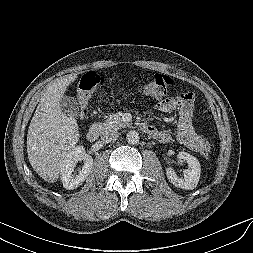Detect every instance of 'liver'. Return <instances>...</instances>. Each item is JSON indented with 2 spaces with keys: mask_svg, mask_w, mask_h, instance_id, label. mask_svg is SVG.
<instances>
[{
  "mask_svg": "<svg viewBox=\"0 0 253 253\" xmlns=\"http://www.w3.org/2000/svg\"><path fill=\"white\" fill-rule=\"evenodd\" d=\"M76 78L71 74L46 89L28 129L29 162L42 179L51 183L59 178L63 161L80 137L77 121L66 116L60 105L67 86Z\"/></svg>",
  "mask_w": 253,
  "mask_h": 253,
  "instance_id": "obj_1",
  "label": "liver"
}]
</instances>
